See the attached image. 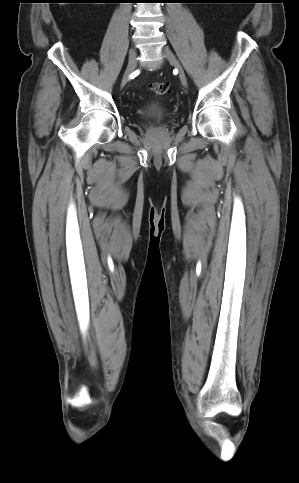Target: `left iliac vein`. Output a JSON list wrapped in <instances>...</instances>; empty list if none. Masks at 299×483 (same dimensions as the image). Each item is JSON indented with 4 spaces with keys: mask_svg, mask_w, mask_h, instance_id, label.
<instances>
[{
    "mask_svg": "<svg viewBox=\"0 0 299 483\" xmlns=\"http://www.w3.org/2000/svg\"><path fill=\"white\" fill-rule=\"evenodd\" d=\"M162 53H163L164 57H166V59L173 65V67L177 69L179 79H180L182 85L185 88H187V77H186L185 71H184L182 65L180 64L179 60L176 58L174 53L167 47L163 48Z\"/></svg>",
    "mask_w": 299,
    "mask_h": 483,
    "instance_id": "1",
    "label": "left iliac vein"
}]
</instances>
